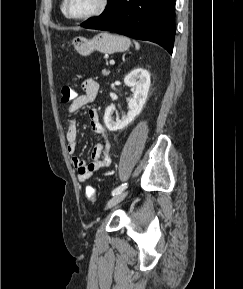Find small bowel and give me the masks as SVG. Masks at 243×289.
Here are the masks:
<instances>
[{"label": "small bowel", "instance_id": "obj_1", "mask_svg": "<svg viewBox=\"0 0 243 289\" xmlns=\"http://www.w3.org/2000/svg\"><path fill=\"white\" fill-rule=\"evenodd\" d=\"M82 88L84 94L74 97L68 107V112L70 114L77 112L81 108L93 102L99 91L98 83L91 78H87L83 81ZM88 115L92 130L99 136V143L95 145L92 150V162L87 163L85 160L77 156H74L71 159V163L78 173V180L80 182L87 181L94 173L108 167L111 163L110 141L106 129L99 120L98 112L96 109H90ZM77 136L78 125L76 120L72 119L69 122L66 132L67 151L71 155H73L77 149Z\"/></svg>", "mask_w": 243, "mask_h": 289}]
</instances>
